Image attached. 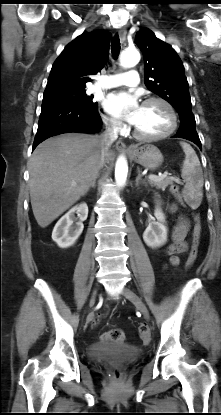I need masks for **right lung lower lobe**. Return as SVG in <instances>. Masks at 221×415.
Masks as SVG:
<instances>
[{"label": "right lung lower lobe", "instance_id": "obj_1", "mask_svg": "<svg viewBox=\"0 0 221 415\" xmlns=\"http://www.w3.org/2000/svg\"><path fill=\"white\" fill-rule=\"evenodd\" d=\"M101 125L98 108L66 101H43L33 150L49 137L69 132L96 133Z\"/></svg>", "mask_w": 221, "mask_h": 415}]
</instances>
